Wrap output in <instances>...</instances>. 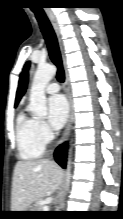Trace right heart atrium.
Masks as SVG:
<instances>
[{
    "label": "right heart atrium",
    "mask_w": 123,
    "mask_h": 219,
    "mask_svg": "<svg viewBox=\"0 0 123 219\" xmlns=\"http://www.w3.org/2000/svg\"><path fill=\"white\" fill-rule=\"evenodd\" d=\"M38 130H39V134H40L42 140L45 143H47L52 136V132H51L50 128L48 127V125L44 121H39L38 122Z\"/></svg>",
    "instance_id": "right-heart-atrium-1"
}]
</instances>
